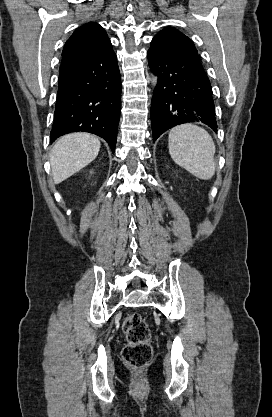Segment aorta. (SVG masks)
<instances>
[{
	"label": "aorta",
	"instance_id": "762f6f07",
	"mask_svg": "<svg viewBox=\"0 0 272 417\" xmlns=\"http://www.w3.org/2000/svg\"><path fill=\"white\" fill-rule=\"evenodd\" d=\"M151 81H152V84L155 86L157 84L158 78L152 75Z\"/></svg>",
	"mask_w": 272,
	"mask_h": 417
}]
</instances>
